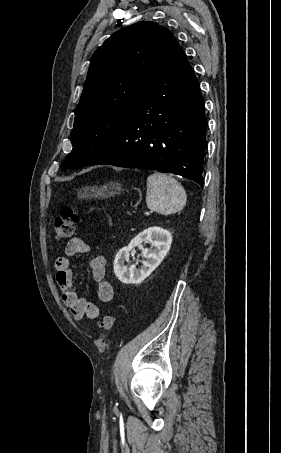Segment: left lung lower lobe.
Instances as JSON below:
<instances>
[{"mask_svg":"<svg viewBox=\"0 0 281 453\" xmlns=\"http://www.w3.org/2000/svg\"><path fill=\"white\" fill-rule=\"evenodd\" d=\"M206 128L198 81L174 40L166 63L133 114L89 165L157 170L203 186Z\"/></svg>","mask_w":281,"mask_h":453,"instance_id":"1","label":"left lung lower lobe"}]
</instances>
